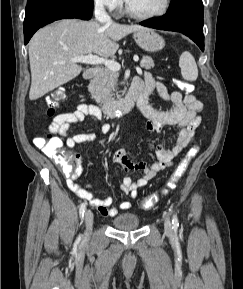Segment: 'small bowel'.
<instances>
[{"label":"small bowel","mask_w":243,"mask_h":289,"mask_svg":"<svg viewBox=\"0 0 243 289\" xmlns=\"http://www.w3.org/2000/svg\"><path fill=\"white\" fill-rule=\"evenodd\" d=\"M131 87L142 88L147 93V98L140 111L149 119L146 125L149 132L162 133L168 125L175 126L177 129L176 142L171 148H167L162 144L156 147L157 161L154 163L149 164L145 161L133 162L122 149L114 153L113 161L117 165L127 172H141L142 174L135 181L130 176H126L122 181V192L134 199L137 197L140 188L146 186L160 171L172 166L173 160L193 141L195 130L201 122L200 112L203 109V103L192 94L184 95L179 91L169 93L165 85L156 81L149 72H146L142 78L134 79ZM154 89L157 90L161 99L172 102V109L160 111L148 103V96ZM87 117L93 121L102 120L101 112L97 107L81 103L74 111L55 116L49 125V134L56 138H59L58 136L66 137L65 144L70 149L75 148L80 143L92 142L96 138L94 133H79L68 136L69 129L73 125L83 122ZM110 131V124L103 122L100 127V133L106 135ZM72 156L75 165L67 178L68 188L79 198L88 201L101 215L116 216L118 209L111 207L112 197L108 196L105 199L96 198L90 191L95 185H81L76 182L83 171L82 158L77 152H73ZM131 206L132 203L130 201H124L119 205V208L127 210Z\"/></svg>","instance_id":"1"}]
</instances>
